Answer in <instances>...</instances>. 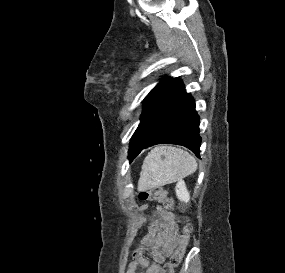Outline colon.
<instances>
[{
	"mask_svg": "<svg viewBox=\"0 0 285 273\" xmlns=\"http://www.w3.org/2000/svg\"><path fill=\"white\" fill-rule=\"evenodd\" d=\"M138 197L141 201L161 203L166 208H172L174 204L167 191L159 187L139 188ZM190 232V226H186L183 229L178 248L171 256L169 262L162 267L160 273H174L175 269L181 264L189 243Z\"/></svg>",
	"mask_w": 285,
	"mask_h": 273,
	"instance_id": "colon-1",
	"label": "colon"
}]
</instances>
